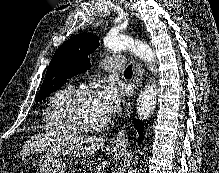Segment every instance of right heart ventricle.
Listing matches in <instances>:
<instances>
[{
  "label": "right heart ventricle",
  "mask_w": 219,
  "mask_h": 173,
  "mask_svg": "<svg viewBox=\"0 0 219 173\" xmlns=\"http://www.w3.org/2000/svg\"><path fill=\"white\" fill-rule=\"evenodd\" d=\"M74 90V86L69 83L56 90L49 98L43 113L44 129L47 132L57 135L75 133L67 126L62 117V105Z\"/></svg>",
  "instance_id": "obj_1"
}]
</instances>
